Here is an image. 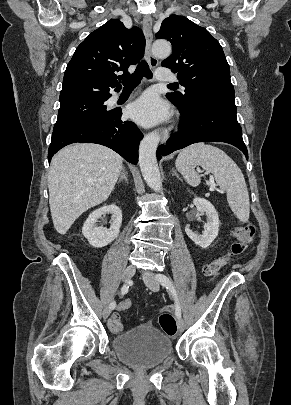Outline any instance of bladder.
I'll return each mask as SVG.
<instances>
[{
  "label": "bladder",
  "instance_id": "obj_1",
  "mask_svg": "<svg viewBox=\"0 0 291 405\" xmlns=\"http://www.w3.org/2000/svg\"><path fill=\"white\" fill-rule=\"evenodd\" d=\"M119 359L137 369H148L163 363L173 351L171 339L151 325H139L116 335L111 342Z\"/></svg>",
  "mask_w": 291,
  "mask_h": 405
}]
</instances>
